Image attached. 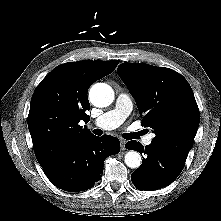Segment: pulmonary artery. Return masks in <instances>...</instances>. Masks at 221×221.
Returning a JSON list of instances; mask_svg holds the SVG:
<instances>
[{
	"label": "pulmonary artery",
	"instance_id": "pulmonary-artery-1",
	"mask_svg": "<svg viewBox=\"0 0 221 221\" xmlns=\"http://www.w3.org/2000/svg\"><path fill=\"white\" fill-rule=\"evenodd\" d=\"M132 110V102L130 97L121 93L116 99L115 106L112 110L99 116L95 121L94 125L100 129L111 130L121 125L124 120L129 116ZM153 139V135H148L144 139L146 145H150Z\"/></svg>",
	"mask_w": 221,
	"mask_h": 221
}]
</instances>
